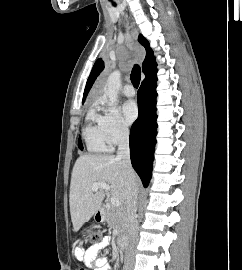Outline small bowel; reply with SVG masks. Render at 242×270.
<instances>
[{
	"instance_id": "1",
	"label": "small bowel",
	"mask_w": 242,
	"mask_h": 270,
	"mask_svg": "<svg viewBox=\"0 0 242 270\" xmlns=\"http://www.w3.org/2000/svg\"><path fill=\"white\" fill-rule=\"evenodd\" d=\"M109 243V239L104 238L100 243L95 244L84 251L79 247H76L75 256L86 264L92 265L95 270H109L110 265L107 262V259L104 257H97L98 252L106 248Z\"/></svg>"
}]
</instances>
